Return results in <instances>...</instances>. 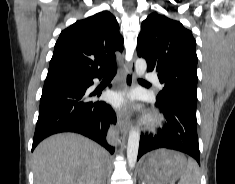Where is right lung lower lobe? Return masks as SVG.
<instances>
[{
  "label": "right lung lower lobe",
  "instance_id": "98d812e1",
  "mask_svg": "<svg viewBox=\"0 0 235 184\" xmlns=\"http://www.w3.org/2000/svg\"><path fill=\"white\" fill-rule=\"evenodd\" d=\"M103 75L46 77L32 151L50 135L76 132L98 142L111 154L114 152V147L106 141V135L109 125L116 122L115 113L107 103L90 100L96 93L86 94L87 88L93 84V79H100Z\"/></svg>",
  "mask_w": 235,
  "mask_h": 184
}]
</instances>
